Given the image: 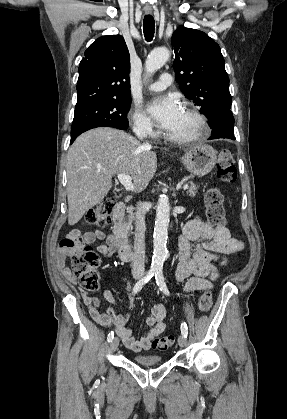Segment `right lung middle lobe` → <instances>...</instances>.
<instances>
[{"label":"right lung middle lobe","mask_w":287,"mask_h":419,"mask_svg":"<svg viewBox=\"0 0 287 419\" xmlns=\"http://www.w3.org/2000/svg\"><path fill=\"white\" fill-rule=\"evenodd\" d=\"M131 98H119L97 101L75 108L71 127V138L96 127H113L121 130L128 128L127 113Z\"/></svg>","instance_id":"obj_1"}]
</instances>
